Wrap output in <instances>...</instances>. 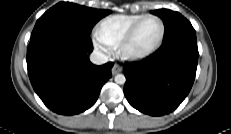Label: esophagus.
<instances>
[{
  "instance_id": "obj_1",
  "label": "esophagus",
  "mask_w": 231,
  "mask_h": 134,
  "mask_svg": "<svg viewBox=\"0 0 231 134\" xmlns=\"http://www.w3.org/2000/svg\"><path fill=\"white\" fill-rule=\"evenodd\" d=\"M121 71H122V67L117 63H115L113 65L112 69H111V72H112L113 75H115V74H117V73H119Z\"/></svg>"
}]
</instances>
